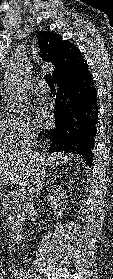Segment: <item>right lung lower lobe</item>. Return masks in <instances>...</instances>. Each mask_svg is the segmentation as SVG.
<instances>
[{"instance_id":"98d812e1","label":"right lung lower lobe","mask_w":113,"mask_h":279,"mask_svg":"<svg viewBox=\"0 0 113 279\" xmlns=\"http://www.w3.org/2000/svg\"><path fill=\"white\" fill-rule=\"evenodd\" d=\"M57 84L55 127L42 132L49 152L81 155L88 166L92 162L98 123L97 94L87 63L77 73Z\"/></svg>"}]
</instances>
